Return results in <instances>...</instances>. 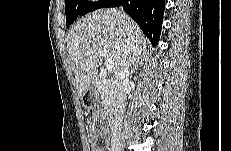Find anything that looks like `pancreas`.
Returning <instances> with one entry per match:
<instances>
[{
    "label": "pancreas",
    "instance_id": "cf45deb5",
    "mask_svg": "<svg viewBox=\"0 0 231 151\" xmlns=\"http://www.w3.org/2000/svg\"><path fill=\"white\" fill-rule=\"evenodd\" d=\"M96 87L98 88L101 94L103 105L106 108H109L113 102L115 94L113 79L110 78V76L107 73L103 72L97 78Z\"/></svg>",
    "mask_w": 231,
    "mask_h": 151
}]
</instances>
